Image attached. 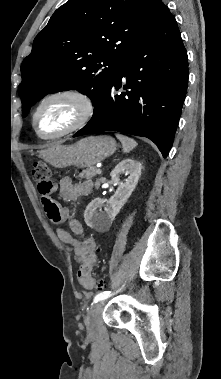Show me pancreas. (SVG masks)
Returning <instances> with one entry per match:
<instances>
[{
  "mask_svg": "<svg viewBox=\"0 0 221 379\" xmlns=\"http://www.w3.org/2000/svg\"><path fill=\"white\" fill-rule=\"evenodd\" d=\"M98 173L96 171V168L95 167H89L85 170H83L80 174V177L81 178H86V179H91L93 178L94 176H96Z\"/></svg>",
  "mask_w": 221,
  "mask_h": 379,
  "instance_id": "pancreas-1",
  "label": "pancreas"
}]
</instances>
